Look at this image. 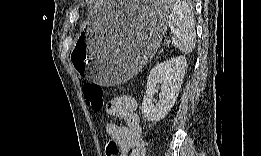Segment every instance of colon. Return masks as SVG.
<instances>
[{
    "label": "colon",
    "mask_w": 261,
    "mask_h": 156,
    "mask_svg": "<svg viewBox=\"0 0 261 156\" xmlns=\"http://www.w3.org/2000/svg\"><path fill=\"white\" fill-rule=\"evenodd\" d=\"M83 95L88 107L92 111H100L104 107V93L100 85L96 83H86L83 86ZM107 156H117L119 148L114 141H109L105 146Z\"/></svg>",
    "instance_id": "5ec220e1"
}]
</instances>
